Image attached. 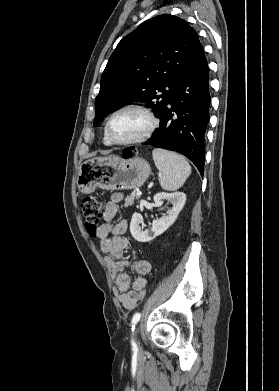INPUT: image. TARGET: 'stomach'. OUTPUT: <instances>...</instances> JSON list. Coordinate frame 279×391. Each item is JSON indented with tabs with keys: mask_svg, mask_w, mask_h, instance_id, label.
Returning a JSON list of instances; mask_svg holds the SVG:
<instances>
[{
	"mask_svg": "<svg viewBox=\"0 0 279 391\" xmlns=\"http://www.w3.org/2000/svg\"><path fill=\"white\" fill-rule=\"evenodd\" d=\"M151 174L149 163L139 157L122 159L118 156L86 160L80 165L77 187L90 194L96 188L126 190L141 187Z\"/></svg>",
	"mask_w": 279,
	"mask_h": 391,
	"instance_id": "stomach-1",
	"label": "stomach"
}]
</instances>
